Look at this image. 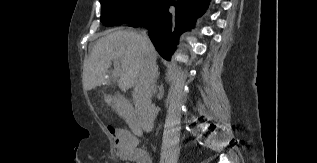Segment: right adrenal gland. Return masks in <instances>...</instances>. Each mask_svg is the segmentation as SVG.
I'll return each instance as SVG.
<instances>
[{"instance_id":"right-adrenal-gland-1","label":"right adrenal gland","mask_w":317,"mask_h":163,"mask_svg":"<svg viewBox=\"0 0 317 163\" xmlns=\"http://www.w3.org/2000/svg\"><path fill=\"white\" fill-rule=\"evenodd\" d=\"M158 77H159V72H157L156 80L158 79Z\"/></svg>"}]
</instances>
